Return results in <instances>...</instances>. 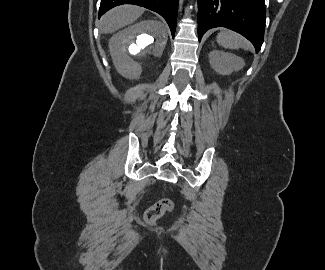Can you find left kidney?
I'll return each instance as SVG.
<instances>
[{
	"label": "left kidney",
	"mask_w": 325,
	"mask_h": 270,
	"mask_svg": "<svg viewBox=\"0 0 325 270\" xmlns=\"http://www.w3.org/2000/svg\"><path fill=\"white\" fill-rule=\"evenodd\" d=\"M209 62L211 67L221 75H229L233 71H239L245 65L242 58L218 50H213L209 53Z\"/></svg>",
	"instance_id": "obj_1"
}]
</instances>
